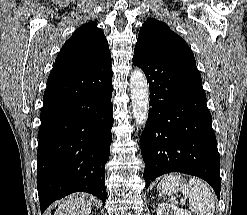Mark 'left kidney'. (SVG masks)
Masks as SVG:
<instances>
[{
  "label": "left kidney",
  "mask_w": 247,
  "mask_h": 215,
  "mask_svg": "<svg viewBox=\"0 0 247 215\" xmlns=\"http://www.w3.org/2000/svg\"><path fill=\"white\" fill-rule=\"evenodd\" d=\"M157 215H190L186 210L178 206L163 202L158 204Z\"/></svg>",
  "instance_id": "1"
}]
</instances>
